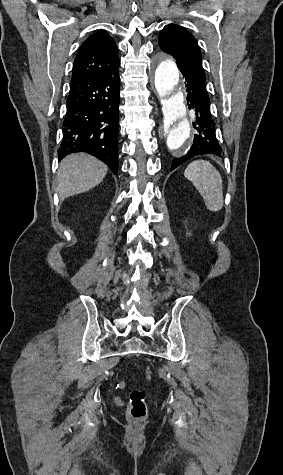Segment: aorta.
Here are the masks:
<instances>
[{"label": "aorta", "mask_w": 283, "mask_h": 475, "mask_svg": "<svg viewBox=\"0 0 283 475\" xmlns=\"http://www.w3.org/2000/svg\"><path fill=\"white\" fill-rule=\"evenodd\" d=\"M155 88L163 103L161 148L175 156L187 153L192 144L193 130L180 88L179 70L171 59L157 63Z\"/></svg>", "instance_id": "762f6f07"}]
</instances>
